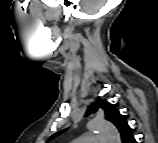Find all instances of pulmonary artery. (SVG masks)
<instances>
[{"label": "pulmonary artery", "instance_id": "e3ab8cb5", "mask_svg": "<svg viewBox=\"0 0 158 143\" xmlns=\"http://www.w3.org/2000/svg\"><path fill=\"white\" fill-rule=\"evenodd\" d=\"M81 140H83L85 142H93V141L102 140V139L96 138V137L91 136V135H85L81 138Z\"/></svg>", "mask_w": 158, "mask_h": 143}]
</instances>
